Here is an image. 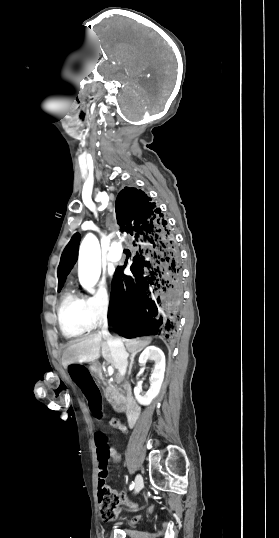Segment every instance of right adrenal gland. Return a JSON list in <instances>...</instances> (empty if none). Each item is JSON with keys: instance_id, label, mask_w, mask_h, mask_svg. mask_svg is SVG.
I'll list each match as a JSON object with an SVG mask.
<instances>
[{"instance_id": "2a0ac1e0", "label": "right adrenal gland", "mask_w": 279, "mask_h": 538, "mask_svg": "<svg viewBox=\"0 0 279 538\" xmlns=\"http://www.w3.org/2000/svg\"><path fill=\"white\" fill-rule=\"evenodd\" d=\"M136 354H137V352H133V354H132V356H131V358H130L131 362H130V366H129V372H128V374H131V370H132V366H133V364H134V362H135L134 358H135Z\"/></svg>"}]
</instances>
